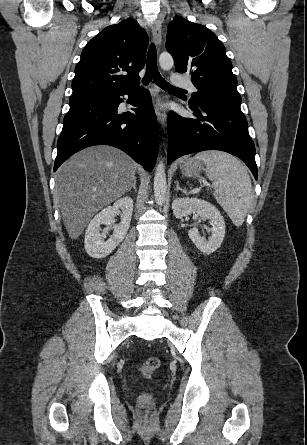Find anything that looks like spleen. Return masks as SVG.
<instances>
[{
    "mask_svg": "<svg viewBox=\"0 0 307 445\" xmlns=\"http://www.w3.org/2000/svg\"><path fill=\"white\" fill-rule=\"evenodd\" d=\"M206 166L209 180L217 182L213 194L230 216L235 227L243 225L247 212H253L256 202L248 170L236 156L222 150H203L195 154Z\"/></svg>",
    "mask_w": 307,
    "mask_h": 445,
    "instance_id": "1",
    "label": "spleen"
}]
</instances>
